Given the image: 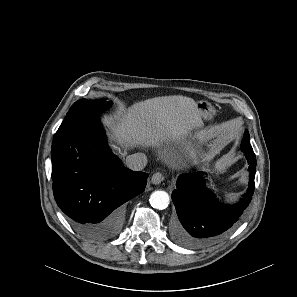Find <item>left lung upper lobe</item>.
I'll return each instance as SVG.
<instances>
[{
	"label": "left lung upper lobe",
	"instance_id": "1",
	"mask_svg": "<svg viewBox=\"0 0 297 297\" xmlns=\"http://www.w3.org/2000/svg\"><path fill=\"white\" fill-rule=\"evenodd\" d=\"M241 150L242 151H253L252 146L250 144V138L248 130L245 131L242 143H241Z\"/></svg>",
	"mask_w": 297,
	"mask_h": 297
}]
</instances>
